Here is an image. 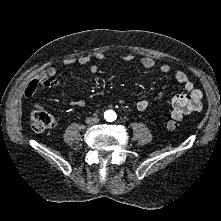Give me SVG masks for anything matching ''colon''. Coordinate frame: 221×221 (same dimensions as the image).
<instances>
[{
    "label": "colon",
    "mask_w": 221,
    "mask_h": 221,
    "mask_svg": "<svg viewBox=\"0 0 221 221\" xmlns=\"http://www.w3.org/2000/svg\"><path fill=\"white\" fill-rule=\"evenodd\" d=\"M183 116V114L178 115L176 118L169 120L166 123V128L170 131H177L180 128L179 121ZM31 124L35 131L43 132L54 125V117L42 107L37 106L31 114Z\"/></svg>",
    "instance_id": "1"
}]
</instances>
